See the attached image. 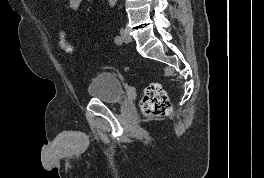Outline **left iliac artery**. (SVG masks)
Masks as SVG:
<instances>
[{"instance_id":"obj_1","label":"left iliac artery","mask_w":264,"mask_h":178,"mask_svg":"<svg viewBox=\"0 0 264 178\" xmlns=\"http://www.w3.org/2000/svg\"><path fill=\"white\" fill-rule=\"evenodd\" d=\"M114 41H115L116 44H120V43L122 42V39H121L120 36H116V37L114 38Z\"/></svg>"}]
</instances>
